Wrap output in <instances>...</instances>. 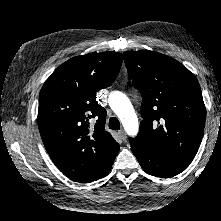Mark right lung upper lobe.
I'll use <instances>...</instances> for the list:
<instances>
[{
	"mask_svg": "<svg viewBox=\"0 0 221 221\" xmlns=\"http://www.w3.org/2000/svg\"><path fill=\"white\" fill-rule=\"evenodd\" d=\"M122 61L116 52L74 57L60 65L40 91L43 143L57 168L75 182L106 176L120 149L104 129L106 110L98 105L96 93L113 83ZM93 118L96 123L90 126Z\"/></svg>",
	"mask_w": 221,
	"mask_h": 221,
	"instance_id": "right-lung-upper-lobe-1",
	"label": "right lung upper lobe"
}]
</instances>
